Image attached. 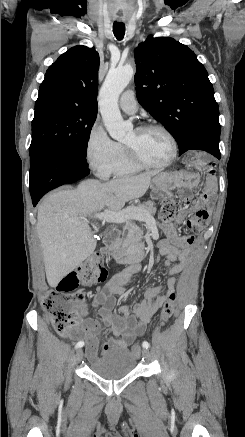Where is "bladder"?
Masks as SVG:
<instances>
[{
    "instance_id": "31cf9c89",
    "label": "bladder",
    "mask_w": 245,
    "mask_h": 437,
    "mask_svg": "<svg viewBox=\"0 0 245 437\" xmlns=\"http://www.w3.org/2000/svg\"><path fill=\"white\" fill-rule=\"evenodd\" d=\"M136 363V356L128 349H114L92 360L89 369L103 378L116 379L130 373Z\"/></svg>"
}]
</instances>
